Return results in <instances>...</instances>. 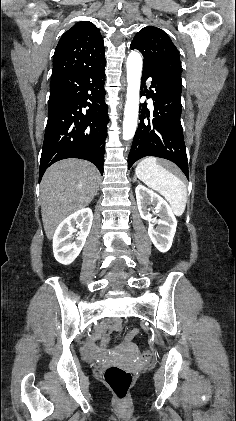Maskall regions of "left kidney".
Returning <instances> with one entry per match:
<instances>
[{
    "label": "left kidney",
    "mask_w": 236,
    "mask_h": 421,
    "mask_svg": "<svg viewBox=\"0 0 236 421\" xmlns=\"http://www.w3.org/2000/svg\"><path fill=\"white\" fill-rule=\"evenodd\" d=\"M138 211L141 219L148 221V235L160 253H167L169 251L174 235L176 233L177 221L172 213L168 202L150 190L143 184H138L135 188ZM148 204L154 206V213H159L160 219H152L151 208Z\"/></svg>",
    "instance_id": "5707ae66"
}]
</instances>
